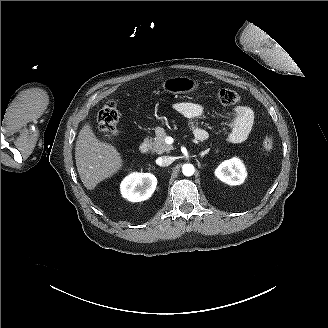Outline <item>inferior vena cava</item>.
Segmentation results:
<instances>
[{"mask_svg":"<svg viewBox=\"0 0 328 328\" xmlns=\"http://www.w3.org/2000/svg\"><path fill=\"white\" fill-rule=\"evenodd\" d=\"M173 158L171 156H161L157 159V164L161 167L169 166L173 163Z\"/></svg>","mask_w":328,"mask_h":328,"instance_id":"602c4592","label":"inferior vena cava"}]
</instances>
